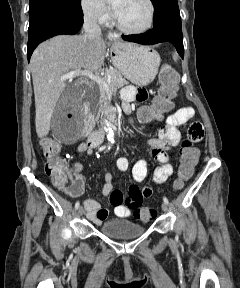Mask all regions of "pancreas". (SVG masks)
I'll list each match as a JSON object with an SVG mask.
<instances>
[{
	"instance_id": "1",
	"label": "pancreas",
	"mask_w": 240,
	"mask_h": 288,
	"mask_svg": "<svg viewBox=\"0 0 240 288\" xmlns=\"http://www.w3.org/2000/svg\"><path fill=\"white\" fill-rule=\"evenodd\" d=\"M109 79L111 80L109 84ZM103 80L108 85L109 90L104 89L102 86L98 85L96 82H90L88 84L91 91H96L99 94L98 99V106L99 109H107L108 108V92L112 89L121 88L128 84V81L123 78L121 73L117 70H106L105 76L103 77ZM89 105V103H88Z\"/></svg>"
}]
</instances>
